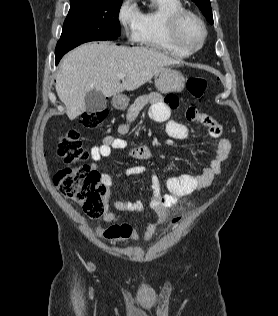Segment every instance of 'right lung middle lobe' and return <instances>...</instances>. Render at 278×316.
<instances>
[{"mask_svg": "<svg viewBox=\"0 0 278 316\" xmlns=\"http://www.w3.org/2000/svg\"><path fill=\"white\" fill-rule=\"evenodd\" d=\"M56 55L94 40H115L120 36L118 14L122 0H70Z\"/></svg>", "mask_w": 278, "mask_h": 316, "instance_id": "right-lung-middle-lobe-1", "label": "right lung middle lobe"}]
</instances>
